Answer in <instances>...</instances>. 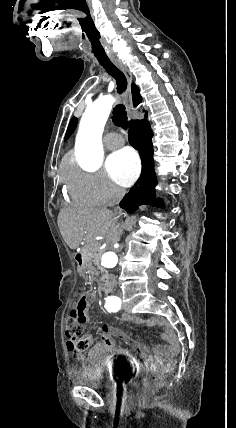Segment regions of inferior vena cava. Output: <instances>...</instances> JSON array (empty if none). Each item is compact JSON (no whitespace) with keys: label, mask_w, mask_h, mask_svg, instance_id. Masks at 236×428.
<instances>
[{"label":"inferior vena cava","mask_w":236,"mask_h":428,"mask_svg":"<svg viewBox=\"0 0 236 428\" xmlns=\"http://www.w3.org/2000/svg\"><path fill=\"white\" fill-rule=\"evenodd\" d=\"M111 190H113V192H115V194H118L119 198H121V196H123L124 192H122L121 188H116V186H111ZM114 198H116V196H114Z\"/></svg>","instance_id":"602c4592"}]
</instances>
